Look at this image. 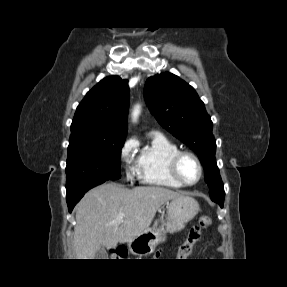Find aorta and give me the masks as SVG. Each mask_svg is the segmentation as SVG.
<instances>
[{
    "label": "aorta",
    "instance_id": "762f6f07",
    "mask_svg": "<svg viewBox=\"0 0 287 287\" xmlns=\"http://www.w3.org/2000/svg\"><path fill=\"white\" fill-rule=\"evenodd\" d=\"M139 113H140V107H139V106H136V107L134 108V111H133V119H134V120L137 119Z\"/></svg>",
    "mask_w": 287,
    "mask_h": 287
}]
</instances>
